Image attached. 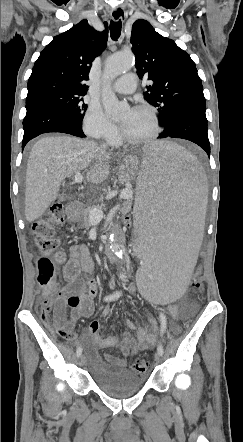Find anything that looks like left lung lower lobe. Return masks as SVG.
<instances>
[{
    "instance_id": "0a47b994",
    "label": "left lung lower lobe",
    "mask_w": 243,
    "mask_h": 442,
    "mask_svg": "<svg viewBox=\"0 0 243 442\" xmlns=\"http://www.w3.org/2000/svg\"><path fill=\"white\" fill-rule=\"evenodd\" d=\"M206 100L190 99L179 104L162 124L163 133L158 138H181L198 144L210 157L205 115Z\"/></svg>"
}]
</instances>
